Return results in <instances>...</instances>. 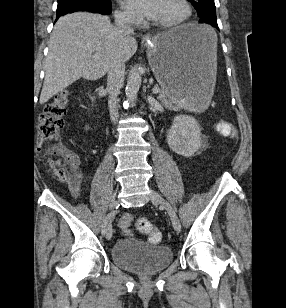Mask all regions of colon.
<instances>
[{
	"label": "colon",
	"mask_w": 286,
	"mask_h": 308,
	"mask_svg": "<svg viewBox=\"0 0 286 308\" xmlns=\"http://www.w3.org/2000/svg\"><path fill=\"white\" fill-rule=\"evenodd\" d=\"M69 102L68 94L58 93L45 106L38 121V147L45 155L50 157L51 167L60 180L70 178V173L63 163V151L57 144L59 132L63 127V117L67 112ZM222 133L229 132V125L220 124ZM138 229L141 232L149 233L148 241L152 244L161 242L162 236L154 231L152 225L145 219H140Z\"/></svg>",
	"instance_id": "1"
}]
</instances>
